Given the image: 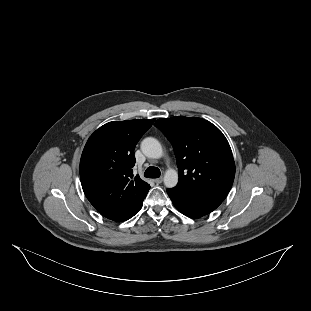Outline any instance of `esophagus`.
I'll return each instance as SVG.
<instances>
[{"label": "esophagus", "mask_w": 311, "mask_h": 311, "mask_svg": "<svg viewBox=\"0 0 311 311\" xmlns=\"http://www.w3.org/2000/svg\"><path fill=\"white\" fill-rule=\"evenodd\" d=\"M163 181V177H159L157 179H155V183L160 184Z\"/></svg>", "instance_id": "esophagus-1"}]
</instances>
